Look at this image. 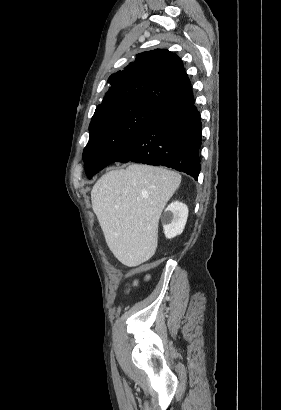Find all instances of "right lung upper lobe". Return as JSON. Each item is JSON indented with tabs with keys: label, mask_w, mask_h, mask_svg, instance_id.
I'll return each mask as SVG.
<instances>
[{
	"label": "right lung upper lobe",
	"mask_w": 281,
	"mask_h": 410,
	"mask_svg": "<svg viewBox=\"0 0 281 410\" xmlns=\"http://www.w3.org/2000/svg\"><path fill=\"white\" fill-rule=\"evenodd\" d=\"M108 82L111 87L95 112L133 103L163 109L192 93L181 59L165 49L138 54L135 62L111 75Z\"/></svg>",
	"instance_id": "obj_1"
}]
</instances>
